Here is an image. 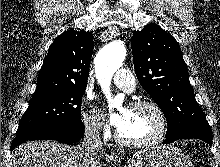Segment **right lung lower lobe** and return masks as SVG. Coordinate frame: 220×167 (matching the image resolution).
I'll list each match as a JSON object with an SVG mask.
<instances>
[{
    "instance_id": "right-lung-lower-lobe-1",
    "label": "right lung lower lobe",
    "mask_w": 220,
    "mask_h": 167,
    "mask_svg": "<svg viewBox=\"0 0 220 167\" xmlns=\"http://www.w3.org/2000/svg\"><path fill=\"white\" fill-rule=\"evenodd\" d=\"M84 127L68 128L62 130H43L33 134L16 136L12 141L11 150L18 145L31 140H56L66 144L76 143L83 135Z\"/></svg>"
}]
</instances>
